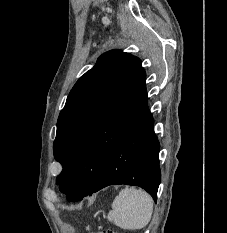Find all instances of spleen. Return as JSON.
Here are the masks:
<instances>
[{"label": "spleen", "mask_w": 227, "mask_h": 233, "mask_svg": "<svg viewBox=\"0 0 227 233\" xmlns=\"http://www.w3.org/2000/svg\"><path fill=\"white\" fill-rule=\"evenodd\" d=\"M153 213L151 196L135 188H124L112 203L108 220L124 230H139L148 225Z\"/></svg>", "instance_id": "1"}]
</instances>
